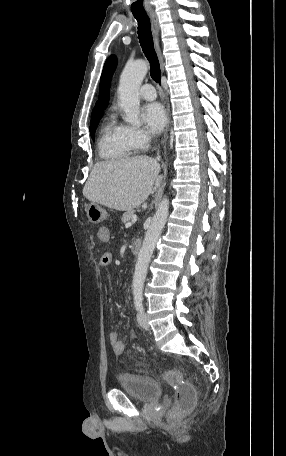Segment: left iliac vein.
Instances as JSON below:
<instances>
[{"label":"left iliac vein","instance_id":"4c4485c4","mask_svg":"<svg viewBox=\"0 0 286 456\" xmlns=\"http://www.w3.org/2000/svg\"><path fill=\"white\" fill-rule=\"evenodd\" d=\"M137 321L139 323V325L144 328V329H148L149 328V324H148V321H147V315L144 311H139L138 314H137Z\"/></svg>","mask_w":286,"mask_h":456}]
</instances>
